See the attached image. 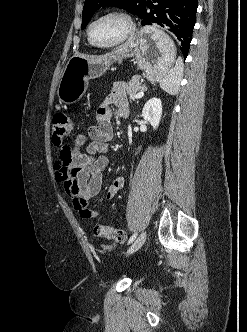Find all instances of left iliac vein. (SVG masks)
<instances>
[{
    "label": "left iliac vein",
    "instance_id": "left-iliac-vein-1",
    "mask_svg": "<svg viewBox=\"0 0 247 332\" xmlns=\"http://www.w3.org/2000/svg\"><path fill=\"white\" fill-rule=\"evenodd\" d=\"M146 237H147L146 231H143L139 235V237L131 244V246L127 250V254L128 255L132 254V253L136 252L139 248H141L146 240Z\"/></svg>",
    "mask_w": 247,
    "mask_h": 332
}]
</instances>
